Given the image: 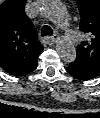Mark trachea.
I'll use <instances>...</instances> for the list:
<instances>
[{"label": "trachea", "instance_id": "3493384b", "mask_svg": "<svg viewBox=\"0 0 100 118\" xmlns=\"http://www.w3.org/2000/svg\"><path fill=\"white\" fill-rule=\"evenodd\" d=\"M42 36H51L52 35V29L48 25H44L41 29Z\"/></svg>", "mask_w": 100, "mask_h": 118}]
</instances>
